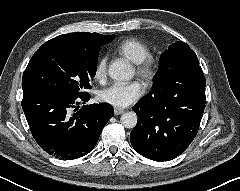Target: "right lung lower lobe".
Instances as JSON below:
<instances>
[{"instance_id": "obj_1", "label": "right lung lower lobe", "mask_w": 240, "mask_h": 191, "mask_svg": "<svg viewBox=\"0 0 240 191\" xmlns=\"http://www.w3.org/2000/svg\"><path fill=\"white\" fill-rule=\"evenodd\" d=\"M89 99V94L75 97L49 88H23L22 108L44 151L60 160L77 159L92 151L114 110L107 103L78 110V101Z\"/></svg>"}]
</instances>
